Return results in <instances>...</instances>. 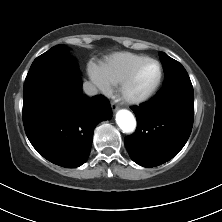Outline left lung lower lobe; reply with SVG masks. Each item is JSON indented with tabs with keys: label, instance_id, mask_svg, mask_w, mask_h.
<instances>
[{
	"label": "left lung lower lobe",
	"instance_id": "1",
	"mask_svg": "<svg viewBox=\"0 0 222 222\" xmlns=\"http://www.w3.org/2000/svg\"><path fill=\"white\" fill-rule=\"evenodd\" d=\"M136 132L124 139L131 159L143 167L161 165L187 142L194 118L192 83L163 86L147 103L132 108Z\"/></svg>",
	"mask_w": 222,
	"mask_h": 222
}]
</instances>
